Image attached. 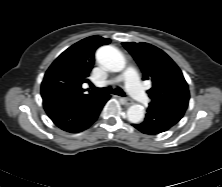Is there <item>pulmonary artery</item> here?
Here are the masks:
<instances>
[{
	"label": "pulmonary artery",
	"mask_w": 222,
	"mask_h": 187,
	"mask_svg": "<svg viewBox=\"0 0 222 187\" xmlns=\"http://www.w3.org/2000/svg\"><path fill=\"white\" fill-rule=\"evenodd\" d=\"M114 81H124L129 94L140 104H146L149 101L147 94L141 87L139 77L136 71L128 68L123 74L117 76ZM106 82L97 83L98 86L105 85Z\"/></svg>",
	"instance_id": "obj_1"
}]
</instances>
